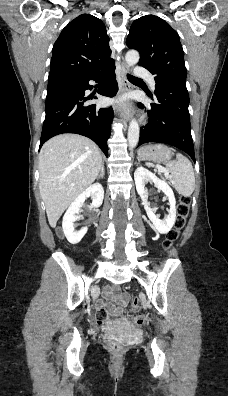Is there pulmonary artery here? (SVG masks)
<instances>
[{
  "label": "pulmonary artery",
  "instance_id": "obj_1",
  "mask_svg": "<svg viewBox=\"0 0 228 396\" xmlns=\"http://www.w3.org/2000/svg\"><path fill=\"white\" fill-rule=\"evenodd\" d=\"M136 75L139 77L147 78L149 80L150 86L152 88H155V81L153 79V76L147 69L141 67L137 68Z\"/></svg>",
  "mask_w": 228,
  "mask_h": 396
}]
</instances>
